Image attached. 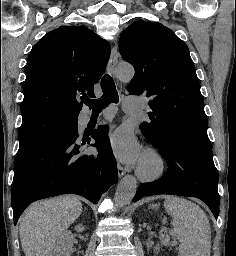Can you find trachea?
Returning a JSON list of instances; mask_svg holds the SVG:
<instances>
[{"instance_id": "3493384b", "label": "trachea", "mask_w": 236, "mask_h": 256, "mask_svg": "<svg viewBox=\"0 0 236 256\" xmlns=\"http://www.w3.org/2000/svg\"><path fill=\"white\" fill-rule=\"evenodd\" d=\"M103 95L98 100L86 98L83 102L89 106L93 113H100L110 103H118L119 96L115 88V83L110 75H104L101 80Z\"/></svg>"}]
</instances>
